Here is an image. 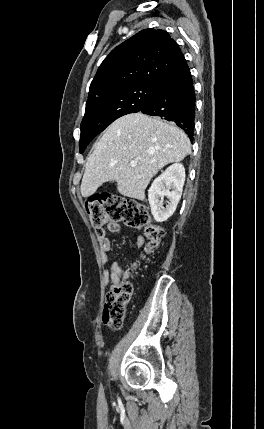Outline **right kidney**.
<instances>
[{
  "label": "right kidney",
  "mask_w": 264,
  "mask_h": 429,
  "mask_svg": "<svg viewBox=\"0 0 264 429\" xmlns=\"http://www.w3.org/2000/svg\"><path fill=\"white\" fill-rule=\"evenodd\" d=\"M185 182V168L181 163L169 166L152 183L148 190L151 213L157 222H164L175 212L182 195ZM168 198V205L163 207V198Z\"/></svg>",
  "instance_id": "obj_1"
}]
</instances>
